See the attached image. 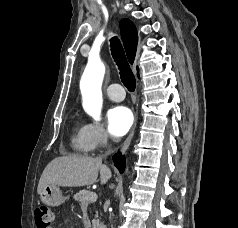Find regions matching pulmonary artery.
<instances>
[{"label": "pulmonary artery", "instance_id": "obj_1", "mask_svg": "<svg viewBox=\"0 0 238 228\" xmlns=\"http://www.w3.org/2000/svg\"><path fill=\"white\" fill-rule=\"evenodd\" d=\"M106 94L113 101H122L125 98V92L120 84L109 85Z\"/></svg>", "mask_w": 238, "mask_h": 228}]
</instances>
